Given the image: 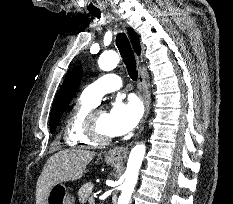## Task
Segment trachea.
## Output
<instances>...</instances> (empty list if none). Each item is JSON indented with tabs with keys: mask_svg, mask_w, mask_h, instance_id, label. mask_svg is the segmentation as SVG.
<instances>
[{
	"mask_svg": "<svg viewBox=\"0 0 233 204\" xmlns=\"http://www.w3.org/2000/svg\"><path fill=\"white\" fill-rule=\"evenodd\" d=\"M93 16L100 18V12L92 13ZM116 45L126 65L128 74L133 81L137 80L138 72L136 67V60L131 48L130 42L124 33H120L116 37Z\"/></svg>",
	"mask_w": 233,
	"mask_h": 204,
	"instance_id": "1",
	"label": "trachea"
}]
</instances>
